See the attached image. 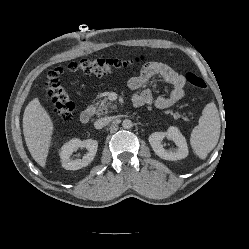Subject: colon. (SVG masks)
Here are the masks:
<instances>
[{
  "mask_svg": "<svg viewBox=\"0 0 249 249\" xmlns=\"http://www.w3.org/2000/svg\"><path fill=\"white\" fill-rule=\"evenodd\" d=\"M140 61V58L133 60L109 58L81 59L79 61L69 63L66 67H59L50 71L46 78L45 88L55 104L57 115L63 121H70L73 117V112L75 109L73 100L60 80V77L63 73L79 72L85 74L104 75L126 69ZM186 80L196 89L204 90L206 88L204 79L195 73H187Z\"/></svg>",
  "mask_w": 249,
  "mask_h": 249,
  "instance_id": "5ec220e1",
  "label": "colon"
}]
</instances>
